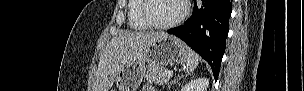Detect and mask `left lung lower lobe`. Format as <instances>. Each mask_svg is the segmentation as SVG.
<instances>
[{"label":"left lung lower lobe","instance_id":"obj_1","mask_svg":"<svg viewBox=\"0 0 304 91\" xmlns=\"http://www.w3.org/2000/svg\"><path fill=\"white\" fill-rule=\"evenodd\" d=\"M232 0H194L190 19L182 26L168 30L195 50L218 78L229 31Z\"/></svg>","mask_w":304,"mask_h":91}]
</instances>
